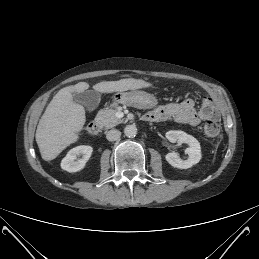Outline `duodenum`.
Wrapping results in <instances>:
<instances>
[{"label":"duodenum","mask_w":259,"mask_h":259,"mask_svg":"<svg viewBox=\"0 0 259 259\" xmlns=\"http://www.w3.org/2000/svg\"><path fill=\"white\" fill-rule=\"evenodd\" d=\"M143 120L147 121V120H149V117L143 116ZM87 130H88L89 134H91L93 136L98 135L101 131V125H100L99 121H97V120L91 121L87 126Z\"/></svg>","instance_id":"duodenum-1"}]
</instances>
